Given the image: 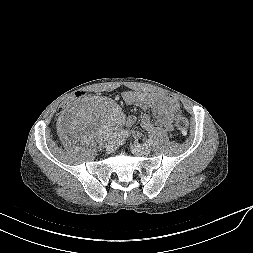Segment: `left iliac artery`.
I'll use <instances>...</instances> for the list:
<instances>
[{
	"label": "left iliac artery",
	"mask_w": 253,
	"mask_h": 253,
	"mask_svg": "<svg viewBox=\"0 0 253 253\" xmlns=\"http://www.w3.org/2000/svg\"><path fill=\"white\" fill-rule=\"evenodd\" d=\"M152 143H153L152 139H148V140H147V144H148V145H151Z\"/></svg>",
	"instance_id": "obj_1"
}]
</instances>
